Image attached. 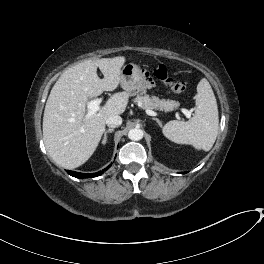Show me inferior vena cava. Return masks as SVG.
Returning <instances> with one entry per match:
<instances>
[{
	"label": "inferior vena cava",
	"instance_id": "602c4592",
	"mask_svg": "<svg viewBox=\"0 0 264 264\" xmlns=\"http://www.w3.org/2000/svg\"><path fill=\"white\" fill-rule=\"evenodd\" d=\"M106 124L109 127L115 128L122 124V118L119 115H113L106 119Z\"/></svg>",
	"mask_w": 264,
	"mask_h": 264
}]
</instances>
